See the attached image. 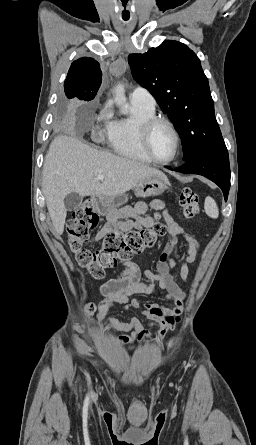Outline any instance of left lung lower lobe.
<instances>
[{"mask_svg": "<svg viewBox=\"0 0 256 445\" xmlns=\"http://www.w3.org/2000/svg\"><path fill=\"white\" fill-rule=\"evenodd\" d=\"M176 171L207 177L222 189L224 198L227 200L230 188V166L227 150H214L197 155L185 161Z\"/></svg>", "mask_w": 256, "mask_h": 445, "instance_id": "1", "label": "left lung lower lobe"}]
</instances>
